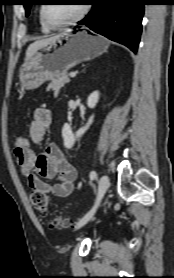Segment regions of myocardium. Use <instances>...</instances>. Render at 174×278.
I'll return each instance as SVG.
<instances>
[{"instance_id":"myocardium-1","label":"myocardium","mask_w":174,"mask_h":278,"mask_svg":"<svg viewBox=\"0 0 174 278\" xmlns=\"http://www.w3.org/2000/svg\"><path fill=\"white\" fill-rule=\"evenodd\" d=\"M47 6L48 5H43L41 7V17H42L44 23L46 24V26H48L50 29H54V30L73 25L74 23L80 21L81 19H83L86 16V14L88 13L89 8H90L89 4H84L82 6V9L80 10V12L72 19H70L66 22H63V23H54L47 16V12H46Z\"/></svg>"}]
</instances>
